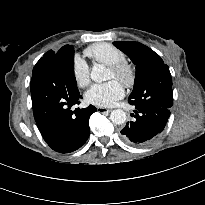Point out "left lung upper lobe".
<instances>
[{"label": "left lung upper lobe", "mask_w": 205, "mask_h": 205, "mask_svg": "<svg viewBox=\"0 0 205 205\" xmlns=\"http://www.w3.org/2000/svg\"><path fill=\"white\" fill-rule=\"evenodd\" d=\"M136 65V77L128 102L135 107L173 104L172 78L169 68L152 49L134 41L113 42Z\"/></svg>", "instance_id": "5c2ea615"}]
</instances>
